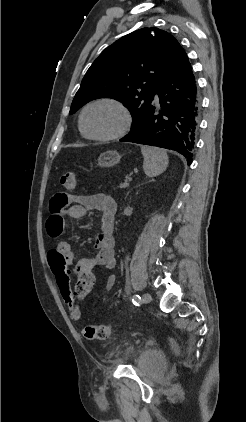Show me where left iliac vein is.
Segmentation results:
<instances>
[{
    "label": "left iliac vein",
    "instance_id": "4c4485c4",
    "mask_svg": "<svg viewBox=\"0 0 246 422\" xmlns=\"http://www.w3.org/2000/svg\"><path fill=\"white\" fill-rule=\"evenodd\" d=\"M142 301H143V303H145V304H148V303H150L151 301H152V297H151V295L149 294V293H144L143 294V296H142Z\"/></svg>",
    "mask_w": 246,
    "mask_h": 422
}]
</instances>
